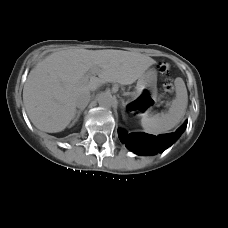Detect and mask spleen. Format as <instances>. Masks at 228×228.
<instances>
[{
    "label": "spleen",
    "instance_id": "3e777b00",
    "mask_svg": "<svg viewBox=\"0 0 228 228\" xmlns=\"http://www.w3.org/2000/svg\"><path fill=\"white\" fill-rule=\"evenodd\" d=\"M188 104L187 89L183 81L176 84V97L168 111L154 115H144L141 126L149 134H161L174 128L184 117Z\"/></svg>",
    "mask_w": 228,
    "mask_h": 228
}]
</instances>
